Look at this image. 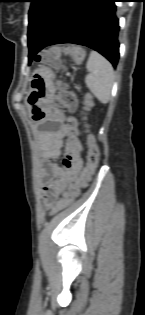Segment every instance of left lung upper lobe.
I'll return each mask as SVG.
<instances>
[{
    "instance_id": "1",
    "label": "left lung upper lobe",
    "mask_w": 145,
    "mask_h": 315,
    "mask_svg": "<svg viewBox=\"0 0 145 315\" xmlns=\"http://www.w3.org/2000/svg\"><path fill=\"white\" fill-rule=\"evenodd\" d=\"M73 0H31L28 37L42 41Z\"/></svg>"
}]
</instances>
